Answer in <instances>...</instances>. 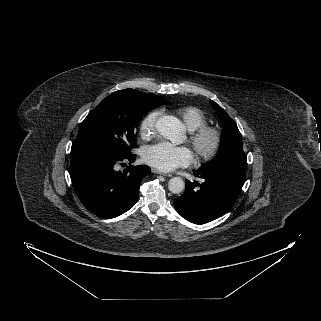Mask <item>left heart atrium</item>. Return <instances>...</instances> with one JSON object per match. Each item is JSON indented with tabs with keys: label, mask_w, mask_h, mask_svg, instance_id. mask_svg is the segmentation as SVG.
<instances>
[{
	"label": "left heart atrium",
	"mask_w": 321,
	"mask_h": 321,
	"mask_svg": "<svg viewBox=\"0 0 321 321\" xmlns=\"http://www.w3.org/2000/svg\"><path fill=\"white\" fill-rule=\"evenodd\" d=\"M143 158L146 163L162 171L188 166L193 161L192 153L188 148L166 142L147 147Z\"/></svg>",
	"instance_id": "left-heart-atrium-1"
}]
</instances>
